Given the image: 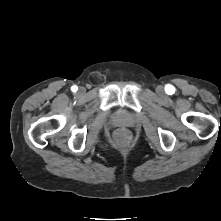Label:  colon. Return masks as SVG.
<instances>
[{
	"mask_svg": "<svg viewBox=\"0 0 221 221\" xmlns=\"http://www.w3.org/2000/svg\"><path fill=\"white\" fill-rule=\"evenodd\" d=\"M114 140L118 145H125L130 141V133L126 129H119L114 135Z\"/></svg>",
	"mask_w": 221,
	"mask_h": 221,
	"instance_id": "obj_1",
	"label": "colon"
}]
</instances>
